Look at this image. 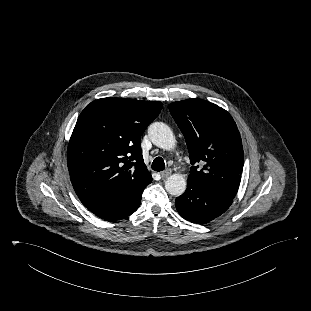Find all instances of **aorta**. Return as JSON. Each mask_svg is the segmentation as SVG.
<instances>
[{
    "mask_svg": "<svg viewBox=\"0 0 311 311\" xmlns=\"http://www.w3.org/2000/svg\"><path fill=\"white\" fill-rule=\"evenodd\" d=\"M148 135L154 145L165 150L175 147L176 140L170 127L163 122L152 123ZM166 191L173 196H180L186 190V180L180 174H173L165 181Z\"/></svg>",
    "mask_w": 311,
    "mask_h": 311,
    "instance_id": "1",
    "label": "aorta"
}]
</instances>
